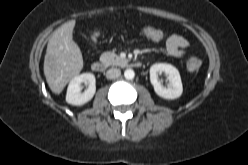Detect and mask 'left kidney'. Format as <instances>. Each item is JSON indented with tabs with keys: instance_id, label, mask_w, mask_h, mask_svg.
Here are the masks:
<instances>
[{
	"instance_id": "obj_1",
	"label": "left kidney",
	"mask_w": 248,
	"mask_h": 165,
	"mask_svg": "<svg viewBox=\"0 0 248 165\" xmlns=\"http://www.w3.org/2000/svg\"><path fill=\"white\" fill-rule=\"evenodd\" d=\"M164 72L169 80L167 87H163L158 81V74ZM150 81L156 94L164 99H176L181 96L183 87L179 71L166 63L154 64L150 68Z\"/></svg>"
}]
</instances>
